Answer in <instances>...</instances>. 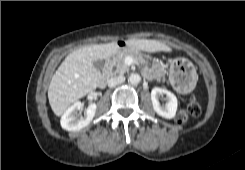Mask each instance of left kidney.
<instances>
[{
  "instance_id": "5707ae66",
  "label": "left kidney",
  "mask_w": 245,
  "mask_h": 170,
  "mask_svg": "<svg viewBox=\"0 0 245 170\" xmlns=\"http://www.w3.org/2000/svg\"><path fill=\"white\" fill-rule=\"evenodd\" d=\"M163 95L166 96V104L162 106L159 102V97ZM151 100L153 109L158 115L166 119L175 117L178 102L176 96L172 92L163 88L154 87L151 91Z\"/></svg>"
}]
</instances>
